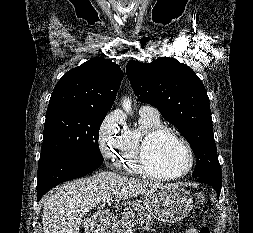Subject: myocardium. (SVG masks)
<instances>
[{"mask_svg":"<svg viewBox=\"0 0 253 233\" xmlns=\"http://www.w3.org/2000/svg\"><path fill=\"white\" fill-rule=\"evenodd\" d=\"M162 135H170L180 141L185 146L189 155V163L188 167L184 172L179 174L165 175L155 173L149 167L147 160L148 151L152 144L155 142V140ZM137 163L141 171L151 178L158 180H177L184 178L190 174L195 164V153L192 145L180 132L171 127L162 125L147 132L141 139L137 151Z\"/></svg>","mask_w":253,"mask_h":233,"instance_id":"obj_1","label":"myocardium"}]
</instances>
